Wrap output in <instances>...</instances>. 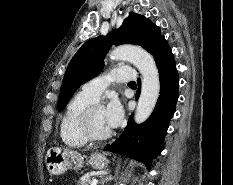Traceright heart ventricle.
I'll return each mask as SVG.
<instances>
[{
	"mask_svg": "<svg viewBox=\"0 0 233 185\" xmlns=\"http://www.w3.org/2000/svg\"><path fill=\"white\" fill-rule=\"evenodd\" d=\"M93 100L78 93L67 104L60 122V136L65 145L73 148L86 145L87 140L80 132L78 120L82 111Z\"/></svg>",
	"mask_w": 233,
	"mask_h": 185,
	"instance_id": "e07e8e85",
	"label": "right heart ventricle"
}]
</instances>
